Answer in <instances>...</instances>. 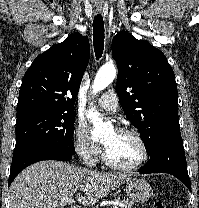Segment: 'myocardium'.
I'll use <instances>...</instances> for the list:
<instances>
[{
	"label": "myocardium",
	"mask_w": 199,
	"mask_h": 208,
	"mask_svg": "<svg viewBox=\"0 0 199 208\" xmlns=\"http://www.w3.org/2000/svg\"><path fill=\"white\" fill-rule=\"evenodd\" d=\"M116 132L120 133V134L130 135L139 143V145L141 147V150H142L141 158L138 162H136L133 165H122V164H119V163L115 162L109 156L105 147H103L102 157H103L104 163L107 166H109L110 168H113L115 170L122 171V172H133V171L138 170L139 168H141L148 161L149 150H148L147 143L145 142V140L141 136V134L138 131H136L135 129L123 127V128L116 129Z\"/></svg>",
	"instance_id": "f54148a6"
}]
</instances>
